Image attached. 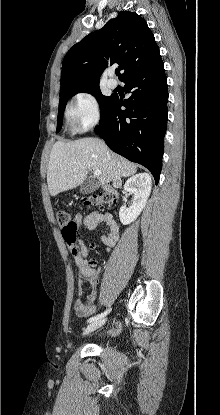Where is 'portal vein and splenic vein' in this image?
<instances>
[{
    "label": "portal vein and splenic vein",
    "mask_w": 220,
    "mask_h": 415,
    "mask_svg": "<svg viewBox=\"0 0 220 415\" xmlns=\"http://www.w3.org/2000/svg\"><path fill=\"white\" fill-rule=\"evenodd\" d=\"M94 175H96V176H100V175H101V171H100V170H95V171H94Z\"/></svg>",
    "instance_id": "obj_1"
}]
</instances>
